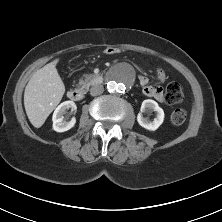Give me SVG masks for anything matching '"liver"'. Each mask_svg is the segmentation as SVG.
<instances>
[{
	"label": "liver",
	"instance_id": "obj_1",
	"mask_svg": "<svg viewBox=\"0 0 222 222\" xmlns=\"http://www.w3.org/2000/svg\"><path fill=\"white\" fill-rule=\"evenodd\" d=\"M58 61L59 59H55L37 70L25 87V111L36 128L44 124L65 93L64 83L56 69Z\"/></svg>",
	"mask_w": 222,
	"mask_h": 222
}]
</instances>
